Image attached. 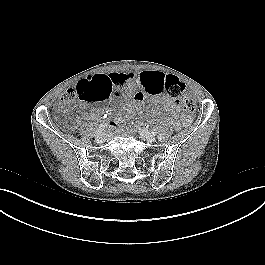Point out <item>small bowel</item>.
<instances>
[{
    "label": "small bowel",
    "instance_id": "small-bowel-1",
    "mask_svg": "<svg viewBox=\"0 0 265 265\" xmlns=\"http://www.w3.org/2000/svg\"><path fill=\"white\" fill-rule=\"evenodd\" d=\"M166 73L158 70H144L140 73H109V74H97L88 76L81 80L91 81L96 78L105 79L112 92L115 95H123V94H131L135 92L137 89L143 90L145 93L153 96V100L151 102V108L154 109L158 106H163L169 113L174 114L179 109V102L163 96L159 92V87L161 83L164 81ZM126 110L129 112L131 107L128 106ZM97 117V113L92 111L85 115L86 119H95ZM116 121L107 120V126L116 125Z\"/></svg>",
    "mask_w": 265,
    "mask_h": 265
}]
</instances>
